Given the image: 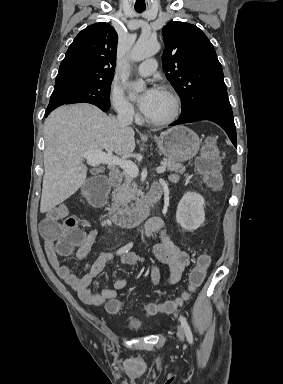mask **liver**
<instances>
[{"mask_svg":"<svg viewBox=\"0 0 283 384\" xmlns=\"http://www.w3.org/2000/svg\"><path fill=\"white\" fill-rule=\"evenodd\" d=\"M135 132L120 126L92 104L60 106L44 122L43 188L41 214L75 194L87 176L83 156L87 150H111L117 156L135 150Z\"/></svg>","mask_w":283,"mask_h":384,"instance_id":"obj_1","label":"liver"}]
</instances>
